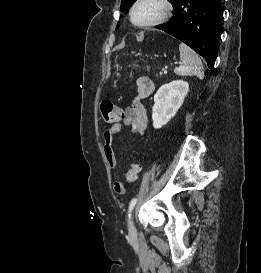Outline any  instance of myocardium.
Masks as SVG:
<instances>
[{
	"label": "myocardium",
	"instance_id": "f54148a6",
	"mask_svg": "<svg viewBox=\"0 0 261 273\" xmlns=\"http://www.w3.org/2000/svg\"><path fill=\"white\" fill-rule=\"evenodd\" d=\"M153 2L159 6L158 14L152 18L151 20L143 23H138L135 20V11L136 9L143 3ZM172 12V4L170 0H136L129 10V19L132 25L136 28L146 29L150 27H154L160 25L167 21Z\"/></svg>",
	"mask_w": 261,
	"mask_h": 273
}]
</instances>
